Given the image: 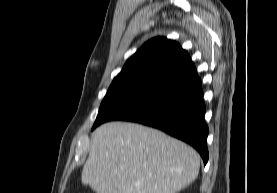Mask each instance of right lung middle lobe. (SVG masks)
<instances>
[{
    "mask_svg": "<svg viewBox=\"0 0 277 193\" xmlns=\"http://www.w3.org/2000/svg\"><path fill=\"white\" fill-rule=\"evenodd\" d=\"M147 94H149V92L140 90L109 89L100 105L92 129L110 120L114 115L133 105Z\"/></svg>",
    "mask_w": 277,
    "mask_h": 193,
    "instance_id": "dd1d6c3e",
    "label": "right lung middle lobe"
}]
</instances>
